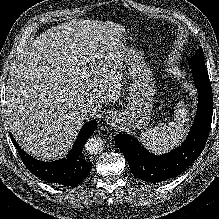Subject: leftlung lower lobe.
I'll return each mask as SVG.
<instances>
[{
	"mask_svg": "<svg viewBox=\"0 0 219 219\" xmlns=\"http://www.w3.org/2000/svg\"><path fill=\"white\" fill-rule=\"evenodd\" d=\"M198 90V110L194 124L181 146L165 155L147 152L134 137L119 133L114 140L126 157L132 173L145 182L158 183L188 168L201 154L208 139L213 114V95L208 72L193 70Z\"/></svg>",
	"mask_w": 219,
	"mask_h": 219,
	"instance_id": "left-lung-lower-lobe-1",
	"label": "left lung lower lobe"
}]
</instances>
